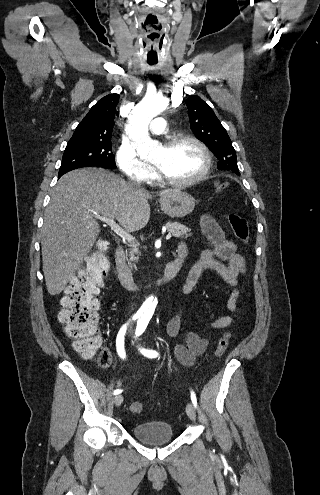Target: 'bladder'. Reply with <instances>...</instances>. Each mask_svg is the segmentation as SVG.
Here are the masks:
<instances>
[{
	"mask_svg": "<svg viewBox=\"0 0 320 495\" xmlns=\"http://www.w3.org/2000/svg\"><path fill=\"white\" fill-rule=\"evenodd\" d=\"M133 435L146 444H164L174 438L173 428L169 423L163 421L136 424L133 428Z\"/></svg>",
	"mask_w": 320,
	"mask_h": 495,
	"instance_id": "1",
	"label": "bladder"
}]
</instances>
